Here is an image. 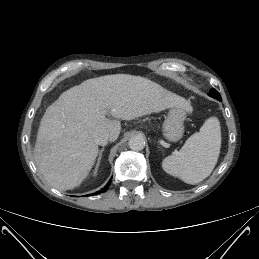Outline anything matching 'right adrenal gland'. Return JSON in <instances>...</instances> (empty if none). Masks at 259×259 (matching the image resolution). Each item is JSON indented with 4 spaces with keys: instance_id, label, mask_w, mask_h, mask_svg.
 I'll return each mask as SVG.
<instances>
[{
    "instance_id": "obj_1",
    "label": "right adrenal gland",
    "mask_w": 259,
    "mask_h": 259,
    "mask_svg": "<svg viewBox=\"0 0 259 259\" xmlns=\"http://www.w3.org/2000/svg\"><path fill=\"white\" fill-rule=\"evenodd\" d=\"M103 151H104V147H103V148L100 150V152H99V157H98V161H97V164H96L94 173H96L97 170H98V167H99L100 162H101V159H102V153H103Z\"/></svg>"
}]
</instances>
